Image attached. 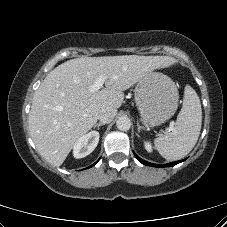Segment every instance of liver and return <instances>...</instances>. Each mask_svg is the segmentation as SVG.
Returning <instances> with one entry per match:
<instances>
[{
  "mask_svg": "<svg viewBox=\"0 0 227 227\" xmlns=\"http://www.w3.org/2000/svg\"><path fill=\"white\" fill-rule=\"evenodd\" d=\"M173 62L167 56L122 55L81 57L57 66L35 91L29 113L30 135L40 155L60 166L77 140L96 124L100 110H117L123 91ZM101 76L106 87L91 92Z\"/></svg>",
  "mask_w": 227,
  "mask_h": 227,
  "instance_id": "1",
  "label": "liver"
}]
</instances>
